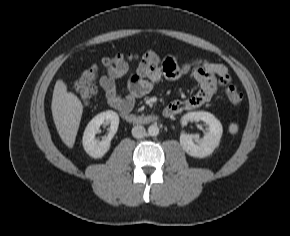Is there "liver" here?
I'll return each mask as SVG.
<instances>
[{
    "label": "liver",
    "mask_w": 290,
    "mask_h": 236,
    "mask_svg": "<svg viewBox=\"0 0 290 236\" xmlns=\"http://www.w3.org/2000/svg\"><path fill=\"white\" fill-rule=\"evenodd\" d=\"M51 110L60 138L67 147L72 148L80 125L83 105L74 93L67 92V86L61 79H58L54 86Z\"/></svg>",
    "instance_id": "liver-1"
}]
</instances>
